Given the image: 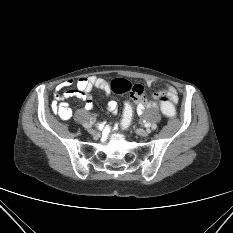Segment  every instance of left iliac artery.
Masks as SVG:
<instances>
[{
	"mask_svg": "<svg viewBox=\"0 0 233 233\" xmlns=\"http://www.w3.org/2000/svg\"><path fill=\"white\" fill-rule=\"evenodd\" d=\"M156 126H157V124L154 122V123L151 125V130H152V131H155V130H156Z\"/></svg>",
	"mask_w": 233,
	"mask_h": 233,
	"instance_id": "1",
	"label": "left iliac artery"
}]
</instances>
